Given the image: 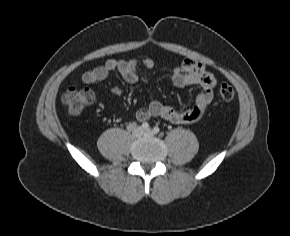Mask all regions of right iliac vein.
I'll use <instances>...</instances> for the list:
<instances>
[{"label":"right iliac vein","mask_w":290,"mask_h":236,"mask_svg":"<svg viewBox=\"0 0 290 236\" xmlns=\"http://www.w3.org/2000/svg\"><path fill=\"white\" fill-rule=\"evenodd\" d=\"M143 133H144L143 129L141 127H137L133 131V137L139 138V137H141L143 135Z\"/></svg>","instance_id":"obj_1"}]
</instances>
